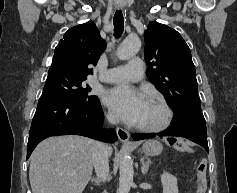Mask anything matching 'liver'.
I'll use <instances>...</instances> for the list:
<instances>
[{"label":"liver","instance_id":"liver-1","mask_svg":"<svg viewBox=\"0 0 237 193\" xmlns=\"http://www.w3.org/2000/svg\"><path fill=\"white\" fill-rule=\"evenodd\" d=\"M95 144L76 135L43 140L31 155L32 193H82L92 175Z\"/></svg>","mask_w":237,"mask_h":193}]
</instances>
